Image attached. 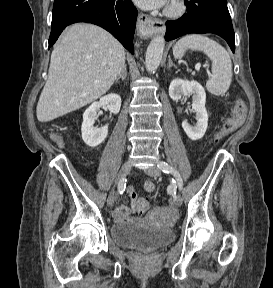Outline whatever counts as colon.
Masks as SVG:
<instances>
[{
  "label": "colon",
  "instance_id": "5ec220e1",
  "mask_svg": "<svg viewBox=\"0 0 273 288\" xmlns=\"http://www.w3.org/2000/svg\"><path fill=\"white\" fill-rule=\"evenodd\" d=\"M247 112V105L243 98L237 97L234 100L233 108L230 116L222 123L218 132L215 135V141L218 142L227 135L237 130L244 122ZM149 203L145 199H137L135 209L139 213H144L148 210Z\"/></svg>",
  "mask_w": 273,
  "mask_h": 288
}]
</instances>
